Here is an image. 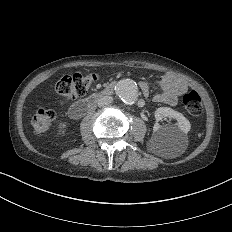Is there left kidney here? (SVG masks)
Here are the masks:
<instances>
[{
  "label": "left kidney",
  "instance_id": "obj_1",
  "mask_svg": "<svg viewBox=\"0 0 232 232\" xmlns=\"http://www.w3.org/2000/svg\"><path fill=\"white\" fill-rule=\"evenodd\" d=\"M154 116L153 134L149 141L151 147L178 150L188 144L190 123L182 113L169 107H160L156 109ZM164 117L174 118L177 121L176 125H160Z\"/></svg>",
  "mask_w": 232,
  "mask_h": 232
}]
</instances>
